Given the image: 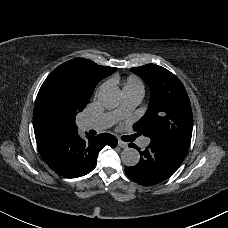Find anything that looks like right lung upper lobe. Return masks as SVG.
<instances>
[{
  "label": "right lung upper lobe",
  "mask_w": 228,
  "mask_h": 228,
  "mask_svg": "<svg viewBox=\"0 0 228 228\" xmlns=\"http://www.w3.org/2000/svg\"><path fill=\"white\" fill-rule=\"evenodd\" d=\"M117 70L93 61L76 58L55 68L42 84L35 102L33 126L36 142L78 131L75 117L89 103L95 86ZM58 98L65 108L76 113L58 111L51 101Z\"/></svg>",
  "instance_id": "cb5924a9"
}]
</instances>
